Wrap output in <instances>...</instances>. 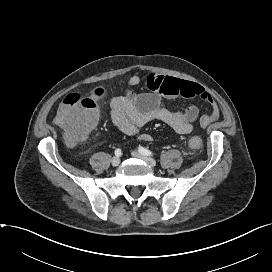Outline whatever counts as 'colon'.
<instances>
[{
	"instance_id": "5ec220e1",
	"label": "colon",
	"mask_w": 272,
	"mask_h": 272,
	"mask_svg": "<svg viewBox=\"0 0 272 272\" xmlns=\"http://www.w3.org/2000/svg\"><path fill=\"white\" fill-rule=\"evenodd\" d=\"M102 94V90H96L91 96L71 93L63 100L56 123L62 128L67 141L76 143L86 138L96 122V100ZM188 145L197 150L202 146V139L194 136L189 139Z\"/></svg>"
}]
</instances>
